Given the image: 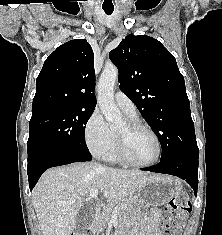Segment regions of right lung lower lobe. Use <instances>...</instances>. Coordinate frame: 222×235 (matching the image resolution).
Returning a JSON list of instances; mask_svg holds the SVG:
<instances>
[{
	"mask_svg": "<svg viewBox=\"0 0 222 235\" xmlns=\"http://www.w3.org/2000/svg\"><path fill=\"white\" fill-rule=\"evenodd\" d=\"M91 160H92L91 154L83 155L77 153L61 152L44 156L34 164L28 165L27 173L29 178L30 190L33 189V187L37 183L42 173L50 167L61 166L74 162L91 161Z\"/></svg>",
	"mask_w": 222,
	"mask_h": 235,
	"instance_id": "right-lung-lower-lobe-1",
	"label": "right lung lower lobe"
}]
</instances>
